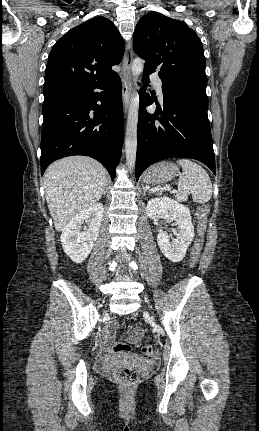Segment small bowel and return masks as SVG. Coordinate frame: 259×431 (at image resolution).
<instances>
[{
  "instance_id": "c3829d8e",
  "label": "small bowel",
  "mask_w": 259,
  "mask_h": 431,
  "mask_svg": "<svg viewBox=\"0 0 259 431\" xmlns=\"http://www.w3.org/2000/svg\"><path fill=\"white\" fill-rule=\"evenodd\" d=\"M114 330H115V327L113 325H110L107 328V330H106V332L104 334V339H105L106 342H110L111 341V339L113 337ZM133 340H134L135 343H137L136 338H134Z\"/></svg>"
}]
</instances>
